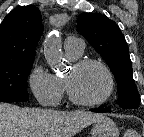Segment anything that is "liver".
I'll return each mask as SVG.
<instances>
[{
    "label": "liver",
    "mask_w": 144,
    "mask_h": 137,
    "mask_svg": "<svg viewBox=\"0 0 144 137\" xmlns=\"http://www.w3.org/2000/svg\"><path fill=\"white\" fill-rule=\"evenodd\" d=\"M103 117L85 110L20 108L0 103V137H74Z\"/></svg>",
    "instance_id": "6515ba94"
}]
</instances>
